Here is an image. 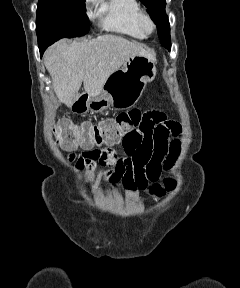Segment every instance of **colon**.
Masks as SVG:
<instances>
[{"instance_id":"obj_1","label":"colon","mask_w":240,"mask_h":288,"mask_svg":"<svg viewBox=\"0 0 240 288\" xmlns=\"http://www.w3.org/2000/svg\"><path fill=\"white\" fill-rule=\"evenodd\" d=\"M142 119L143 112L139 109H132L95 124L84 122L75 125L69 120H61L54 128V136L59 146L65 150L115 143L138 130ZM174 187L175 182L167 179L163 187L155 185L152 193L160 197Z\"/></svg>"}]
</instances>
